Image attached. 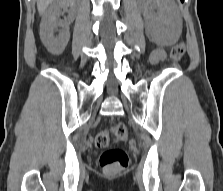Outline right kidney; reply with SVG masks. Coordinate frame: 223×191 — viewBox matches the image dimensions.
<instances>
[{"label": "right kidney", "instance_id": "obj_1", "mask_svg": "<svg viewBox=\"0 0 223 191\" xmlns=\"http://www.w3.org/2000/svg\"><path fill=\"white\" fill-rule=\"evenodd\" d=\"M76 0H56L46 11L40 25V36L46 48L54 54L64 51L70 38L69 24L73 19V13L68 16L67 22L59 20V15L63 9L71 7L73 10ZM58 27H61L58 30ZM58 31V34H56Z\"/></svg>", "mask_w": 223, "mask_h": 191}]
</instances>
